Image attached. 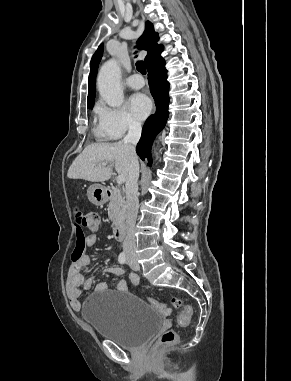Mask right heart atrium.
Segmentation results:
<instances>
[{
	"label": "right heart atrium",
	"instance_id": "right-heart-atrium-1",
	"mask_svg": "<svg viewBox=\"0 0 291 381\" xmlns=\"http://www.w3.org/2000/svg\"><path fill=\"white\" fill-rule=\"evenodd\" d=\"M99 127L106 138L119 139L140 130V121L124 106L112 107L100 103L97 107Z\"/></svg>",
	"mask_w": 291,
	"mask_h": 381
}]
</instances>
